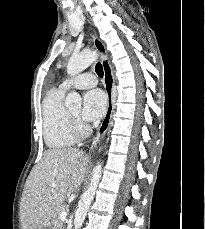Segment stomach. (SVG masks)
Returning a JSON list of instances; mask_svg holds the SVG:
<instances>
[{"mask_svg": "<svg viewBox=\"0 0 205 229\" xmlns=\"http://www.w3.org/2000/svg\"><path fill=\"white\" fill-rule=\"evenodd\" d=\"M42 229H55L53 223L49 222Z\"/></svg>", "mask_w": 205, "mask_h": 229, "instance_id": "stomach-1", "label": "stomach"}]
</instances>
